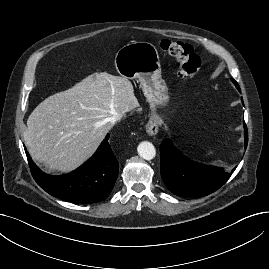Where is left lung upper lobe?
<instances>
[{
    "mask_svg": "<svg viewBox=\"0 0 269 269\" xmlns=\"http://www.w3.org/2000/svg\"><path fill=\"white\" fill-rule=\"evenodd\" d=\"M233 83L235 84V86L237 87V89L239 88V85L237 84V82L235 80H233Z\"/></svg>",
    "mask_w": 269,
    "mask_h": 269,
    "instance_id": "5c2ea615",
    "label": "left lung upper lobe"
}]
</instances>
